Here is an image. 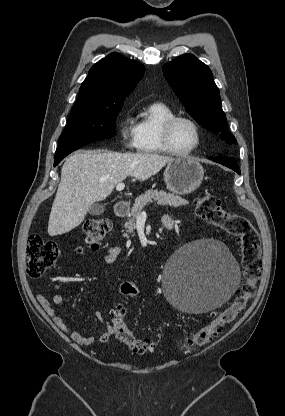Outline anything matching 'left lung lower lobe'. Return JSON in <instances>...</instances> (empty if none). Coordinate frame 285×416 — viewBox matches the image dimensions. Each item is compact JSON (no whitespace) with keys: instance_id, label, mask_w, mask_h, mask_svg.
<instances>
[{"instance_id":"1","label":"left lung lower lobe","mask_w":285,"mask_h":416,"mask_svg":"<svg viewBox=\"0 0 285 416\" xmlns=\"http://www.w3.org/2000/svg\"><path fill=\"white\" fill-rule=\"evenodd\" d=\"M213 161L220 163L228 168H231L232 170H234L235 172H237L238 174H241L240 168L237 165L235 159L233 158H226V157H216V158H212Z\"/></svg>"}]
</instances>
